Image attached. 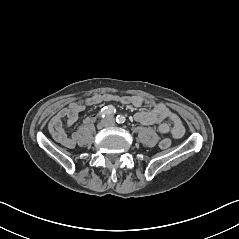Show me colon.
Segmentation results:
<instances>
[{
  "mask_svg": "<svg viewBox=\"0 0 239 239\" xmlns=\"http://www.w3.org/2000/svg\"><path fill=\"white\" fill-rule=\"evenodd\" d=\"M170 145H171V140L168 138L163 139L159 144L160 148H162V149H166V148L170 147Z\"/></svg>",
  "mask_w": 239,
  "mask_h": 239,
  "instance_id": "colon-1",
  "label": "colon"
}]
</instances>
